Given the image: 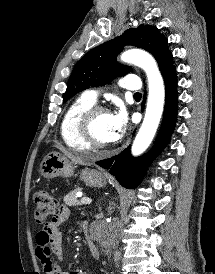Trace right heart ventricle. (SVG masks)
<instances>
[{"label":"right heart ventricle","mask_w":215,"mask_h":274,"mask_svg":"<svg viewBox=\"0 0 215 274\" xmlns=\"http://www.w3.org/2000/svg\"><path fill=\"white\" fill-rule=\"evenodd\" d=\"M94 105L95 102L82 95L76 98L65 111L60 124V133L68 147L78 151L90 149L80 135L79 121L83 113Z\"/></svg>","instance_id":"e07e8e85"}]
</instances>
